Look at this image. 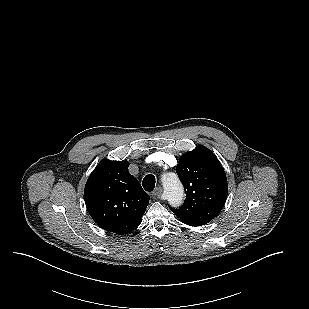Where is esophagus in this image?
Wrapping results in <instances>:
<instances>
[{
  "label": "esophagus",
  "instance_id": "esophagus-1",
  "mask_svg": "<svg viewBox=\"0 0 309 309\" xmlns=\"http://www.w3.org/2000/svg\"><path fill=\"white\" fill-rule=\"evenodd\" d=\"M163 189L161 187H157L155 191L153 192V196L156 198H160L162 194Z\"/></svg>",
  "mask_w": 309,
  "mask_h": 309
}]
</instances>
